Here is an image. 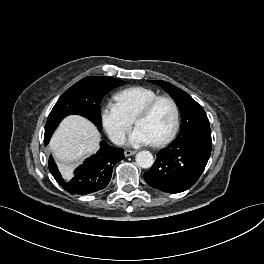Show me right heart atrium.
Returning a JSON list of instances; mask_svg holds the SVG:
<instances>
[{"instance_id": "d8ad5b80", "label": "right heart atrium", "mask_w": 264, "mask_h": 264, "mask_svg": "<svg viewBox=\"0 0 264 264\" xmlns=\"http://www.w3.org/2000/svg\"><path fill=\"white\" fill-rule=\"evenodd\" d=\"M100 121L110 139L121 144L132 126V120L113 101H107L101 108Z\"/></svg>"}]
</instances>
